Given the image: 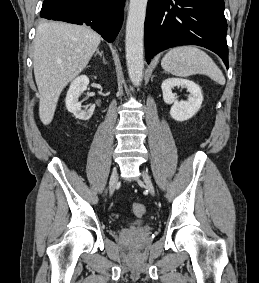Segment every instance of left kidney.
Listing matches in <instances>:
<instances>
[{
	"instance_id": "obj_1",
	"label": "left kidney",
	"mask_w": 259,
	"mask_h": 283,
	"mask_svg": "<svg viewBox=\"0 0 259 283\" xmlns=\"http://www.w3.org/2000/svg\"><path fill=\"white\" fill-rule=\"evenodd\" d=\"M187 88L190 93L186 101H178L172 89L174 87ZM163 100L166 104H173L170 116L176 121H185L192 118L200 109L203 95L199 85L186 79L169 78L162 82Z\"/></svg>"
}]
</instances>
